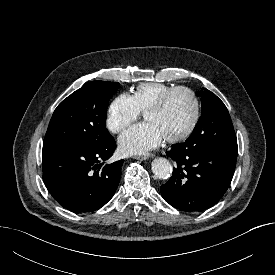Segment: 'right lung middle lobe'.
Instances as JSON below:
<instances>
[{
	"mask_svg": "<svg viewBox=\"0 0 275 275\" xmlns=\"http://www.w3.org/2000/svg\"><path fill=\"white\" fill-rule=\"evenodd\" d=\"M119 86L116 82L93 81L64 99L53 113L43 146L93 147L110 139L107 107Z\"/></svg>",
	"mask_w": 275,
	"mask_h": 275,
	"instance_id": "right-lung-middle-lobe-1",
	"label": "right lung middle lobe"
}]
</instances>
